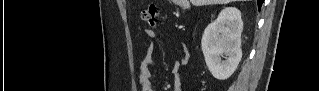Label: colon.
<instances>
[{"label": "colon", "instance_id": "5ec220e1", "mask_svg": "<svg viewBox=\"0 0 319 91\" xmlns=\"http://www.w3.org/2000/svg\"><path fill=\"white\" fill-rule=\"evenodd\" d=\"M157 6L150 4L141 11V20L152 28H156L158 25L157 19Z\"/></svg>", "mask_w": 319, "mask_h": 91}]
</instances>
